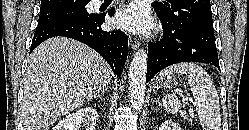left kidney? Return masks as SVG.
<instances>
[{
  "mask_svg": "<svg viewBox=\"0 0 249 130\" xmlns=\"http://www.w3.org/2000/svg\"><path fill=\"white\" fill-rule=\"evenodd\" d=\"M159 130H181V128L172 120H166L160 125Z\"/></svg>",
  "mask_w": 249,
  "mask_h": 130,
  "instance_id": "left-kidney-1",
  "label": "left kidney"
}]
</instances>
